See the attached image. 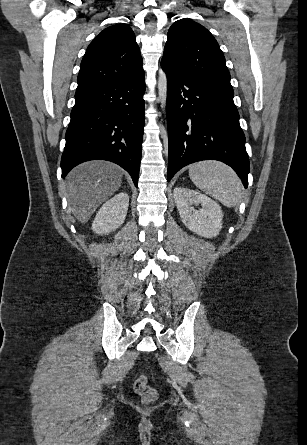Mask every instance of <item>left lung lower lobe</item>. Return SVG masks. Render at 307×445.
<instances>
[{
  "instance_id": "1",
  "label": "left lung lower lobe",
  "mask_w": 307,
  "mask_h": 445,
  "mask_svg": "<svg viewBox=\"0 0 307 445\" xmlns=\"http://www.w3.org/2000/svg\"><path fill=\"white\" fill-rule=\"evenodd\" d=\"M161 66L168 81L167 180L190 163L213 159L231 166L247 188L249 159L233 97L199 86L169 64Z\"/></svg>"
}]
</instances>
